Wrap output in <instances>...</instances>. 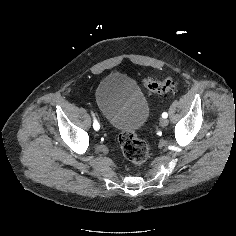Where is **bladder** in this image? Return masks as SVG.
Masks as SVG:
<instances>
[{
  "label": "bladder",
  "instance_id": "1",
  "mask_svg": "<svg viewBox=\"0 0 236 236\" xmlns=\"http://www.w3.org/2000/svg\"><path fill=\"white\" fill-rule=\"evenodd\" d=\"M98 109L119 132H136L149 116L148 102L137 84L125 74L106 76L95 90Z\"/></svg>",
  "mask_w": 236,
  "mask_h": 236
}]
</instances>
